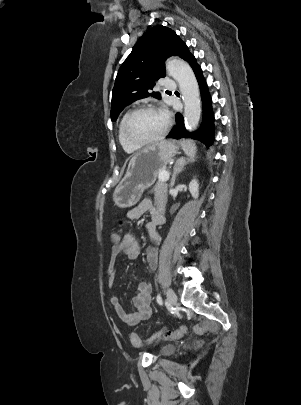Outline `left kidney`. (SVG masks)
Masks as SVG:
<instances>
[{
  "label": "left kidney",
  "mask_w": 301,
  "mask_h": 405,
  "mask_svg": "<svg viewBox=\"0 0 301 405\" xmlns=\"http://www.w3.org/2000/svg\"><path fill=\"white\" fill-rule=\"evenodd\" d=\"M189 191L193 198L197 199L199 196V183L197 179H193L189 184Z\"/></svg>",
  "instance_id": "5707ae66"
}]
</instances>
